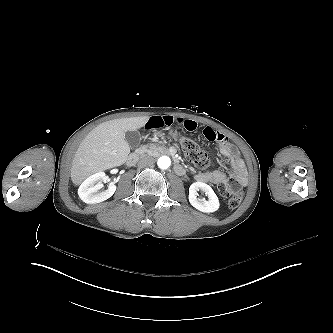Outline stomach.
I'll list each match as a JSON object with an SVG mask.
<instances>
[{
	"instance_id": "stomach-1",
	"label": "stomach",
	"mask_w": 333,
	"mask_h": 333,
	"mask_svg": "<svg viewBox=\"0 0 333 333\" xmlns=\"http://www.w3.org/2000/svg\"><path fill=\"white\" fill-rule=\"evenodd\" d=\"M156 134H159V133L157 132ZM147 137H148V135L145 136V138H147Z\"/></svg>"
}]
</instances>
